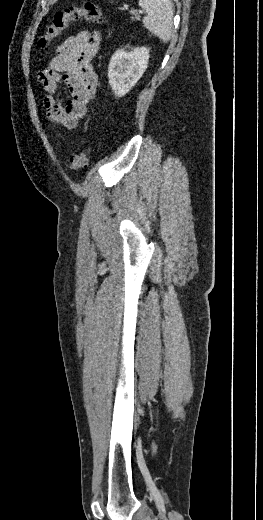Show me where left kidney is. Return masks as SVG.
I'll return each instance as SVG.
<instances>
[{"mask_svg":"<svg viewBox=\"0 0 263 520\" xmlns=\"http://www.w3.org/2000/svg\"><path fill=\"white\" fill-rule=\"evenodd\" d=\"M149 49L134 48L131 52L116 51L108 67L109 84L117 97L127 94L147 69Z\"/></svg>","mask_w":263,"mask_h":520,"instance_id":"5707ae66","label":"left kidney"}]
</instances>
